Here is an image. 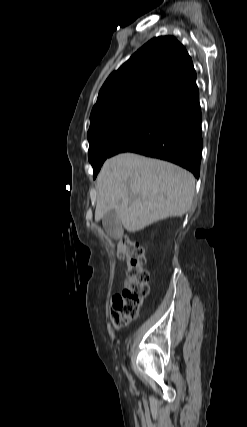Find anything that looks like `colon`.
Wrapping results in <instances>:
<instances>
[{
	"instance_id": "5ec220e1",
	"label": "colon",
	"mask_w": 247,
	"mask_h": 427,
	"mask_svg": "<svg viewBox=\"0 0 247 427\" xmlns=\"http://www.w3.org/2000/svg\"><path fill=\"white\" fill-rule=\"evenodd\" d=\"M117 255L127 262L124 289L112 298L110 311L113 325L120 328L137 317L149 292V273L144 267L146 260L142 246L129 237L118 240Z\"/></svg>"
}]
</instances>
